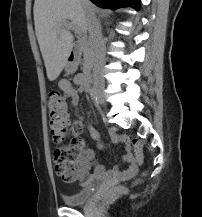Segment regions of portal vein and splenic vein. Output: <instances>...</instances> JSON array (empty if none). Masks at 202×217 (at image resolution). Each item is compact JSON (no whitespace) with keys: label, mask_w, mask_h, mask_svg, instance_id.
Here are the masks:
<instances>
[{"label":"portal vein and splenic vein","mask_w":202,"mask_h":217,"mask_svg":"<svg viewBox=\"0 0 202 217\" xmlns=\"http://www.w3.org/2000/svg\"><path fill=\"white\" fill-rule=\"evenodd\" d=\"M62 25H63V27H65V28L73 29V30L75 31V33L78 34V35L81 34L80 29L77 28L75 25H73V24L70 23V22L64 21Z\"/></svg>","instance_id":"18ae733b"}]
</instances>
